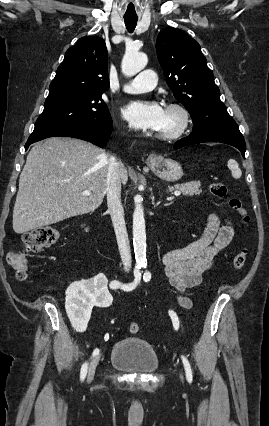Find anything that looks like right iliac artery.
<instances>
[{"mask_svg":"<svg viewBox=\"0 0 269 426\" xmlns=\"http://www.w3.org/2000/svg\"><path fill=\"white\" fill-rule=\"evenodd\" d=\"M139 269L140 268H136L135 271H134L135 279H134L133 283L120 285L117 281H112L111 284H110V287H112V288L121 287L122 289L127 290V291H131V290L135 289V287L139 284V282L141 280V273H140ZM98 353H99V349L96 348L93 351L92 355L96 356ZM87 370H88V363L85 362L81 367V372H80L81 381H83L85 379L86 374H87Z\"/></svg>","mask_w":269,"mask_h":426,"instance_id":"obj_1","label":"right iliac artery"}]
</instances>
